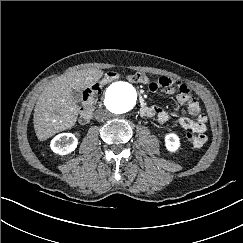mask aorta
Masks as SVG:
<instances>
[{"mask_svg":"<svg viewBox=\"0 0 243 243\" xmlns=\"http://www.w3.org/2000/svg\"><path fill=\"white\" fill-rule=\"evenodd\" d=\"M136 102L134 87L126 82L111 84L105 93L104 104L106 108L115 114H123L130 111Z\"/></svg>","mask_w":243,"mask_h":243,"instance_id":"obj_1","label":"aorta"}]
</instances>
